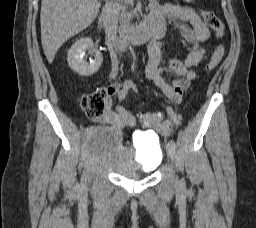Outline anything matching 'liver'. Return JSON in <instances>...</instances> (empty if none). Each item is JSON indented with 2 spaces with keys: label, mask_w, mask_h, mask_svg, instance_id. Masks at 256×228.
Here are the masks:
<instances>
[{
  "label": "liver",
  "mask_w": 256,
  "mask_h": 228,
  "mask_svg": "<svg viewBox=\"0 0 256 228\" xmlns=\"http://www.w3.org/2000/svg\"><path fill=\"white\" fill-rule=\"evenodd\" d=\"M100 7L98 0H42L41 42L49 63L68 39L92 24Z\"/></svg>",
  "instance_id": "liver-1"
}]
</instances>
